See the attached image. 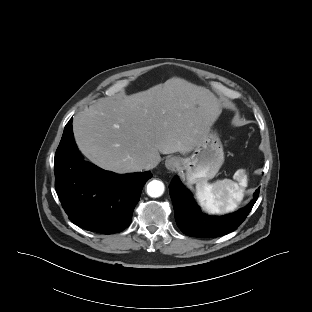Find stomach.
Segmentation results:
<instances>
[{
  "label": "stomach",
  "mask_w": 312,
  "mask_h": 312,
  "mask_svg": "<svg viewBox=\"0 0 312 312\" xmlns=\"http://www.w3.org/2000/svg\"><path fill=\"white\" fill-rule=\"evenodd\" d=\"M178 161V169L185 172L189 184L214 178L224 163L223 146L218 134L210 130L190 156L178 158Z\"/></svg>",
  "instance_id": "stomach-1"
}]
</instances>
